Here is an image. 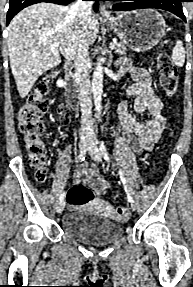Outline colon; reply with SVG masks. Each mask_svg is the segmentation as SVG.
<instances>
[{
  "label": "colon",
  "instance_id": "colon-1",
  "mask_svg": "<svg viewBox=\"0 0 193 287\" xmlns=\"http://www.w3.org/2000/svg\"><path fill=\"white\" fill-rule=\"evenodd\" d=\"M157 71L162 90L168 97H174L178 88V74L169 55L165 53L159 55ZM54 76V73L44 76L18 112L19 132L29 154L30 164L36 170V179L40 183H46L50 178L46 167V144L42 138L44 131L42 117L49 108L50 84ZM67 113L69 112L66 108H58L59 124L65 125L70 122ZM93 199V191L82 185L73 186L67 194L69 205L74 207L87 204ZM114 217L120 221L126 220L128 218L127 209L123 206L116 207Z\"/></svg>",
  "mask_w": 193,
  "mask_h": 287
}]
</instances>
